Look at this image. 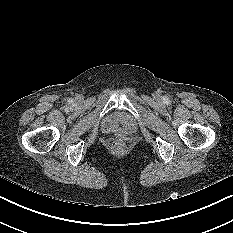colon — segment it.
<instances>
[{
  "mask_svg": "<svg viewBox=\"0 0 233 233\" xmlns=\"http://www.w3.org/2000/svg\"><path fill=\"white\" fill-rule=\"evenodd\" d=\"M113 148H114L115 150H121V149L123 148L122 142H120V141L114 142V143H113Z\"/></svg>",
  "mask_w": 233,
  "mask_h": 233,
  "instance_id": "5ec220e1",
  "label": "colon"
}]
</instances>
